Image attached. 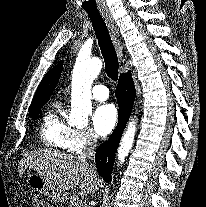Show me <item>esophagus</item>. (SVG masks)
Masks as SVG:
<instances>
[{"label": "esophagus", "instance_id": "obj_1", "mask_svg": "<svg viewBox=\"0 0 206 207\" xmlns=\"http://www.w3.org/2000/svg\"><path fill=\"white\" fill-rule=\"evenodd\" d=\"M101 15L102 17L104 18L107 26L109 27L110 29V32H111V36H112V39L116 45V48H117V53H118V56L120 58V60H122L123 58V51L122 49L120 48L119 44H120V39H119V30H118V26L112 16V14L110 13L109 10H102L101 11Z\"/></svg>", "mask_w": 206, "mask_h": 207}]
</instances>
